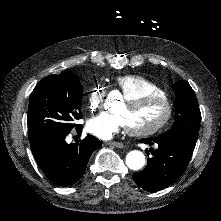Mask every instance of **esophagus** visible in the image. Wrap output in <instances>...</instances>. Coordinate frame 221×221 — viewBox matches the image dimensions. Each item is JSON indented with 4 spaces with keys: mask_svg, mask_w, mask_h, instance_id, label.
I'll return each instance as SVG.
<instances>
[{
    "mask_svg": "<svg viewBox=\"0 0 221 221\" xmlns=\"http://www.w3.org/2000/svg\"><path fill=\"white\" fill-rule=\"evenodd\" d=\"M107 145L114 146V147L120 148V149L124 148V144L121 142H108Z\"/></svg>",
    "mask_w": 221,
    "mask_h": 221,
    "instance_id": "esophagus-1",
    "label": "esophagus"
}]
</instances>
